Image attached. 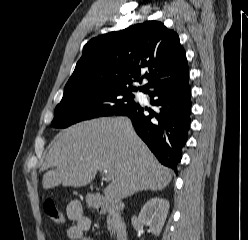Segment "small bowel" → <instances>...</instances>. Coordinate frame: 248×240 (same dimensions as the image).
Segmentation results:
<instances>
[{
    "label": "small bowel",
    "instance_id": "small-bowel-1",
    "mask_svg": "<svg viewBox=\"0 0 248 240\" xmlns=\"http://www.w3.org/2000/svg\"><path fill=\"white\" fill-rule=\"evenodd\" d=\"M66 215L72 221V225L67 230L70 240H92L85 233L90 229L91 220L84 213L82 205L78 201H71L66 208Z\"/></svg>",
    "mask_w": 248,
    "mask_h": 240
}]
</instances>
